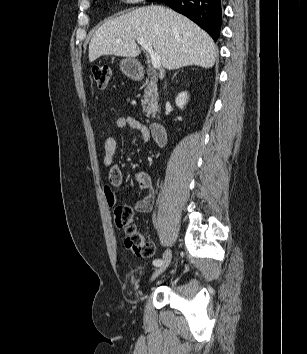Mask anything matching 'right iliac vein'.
Listing matches in <instances>:
<instances>
[{
  "instance_id": "63e3f726",
  "label": "right iliac vein",
  "mask_w": 307,
  "mask_h": 354,
  "mask_svg": "<svg viewBox=\"0 0 307 354\" xmlns=\"http://www.w3.org/2000/svg\"><path fill=\"white\" fill-rule=\"evenodd\" d=\"M172 259V252L170 249L166 250L163 259H162V264L158 266L154 273L151 276V281H153L156 277H158L160 274H162L169 266L170 262Z\"/></svg>"
}]
</instances>
